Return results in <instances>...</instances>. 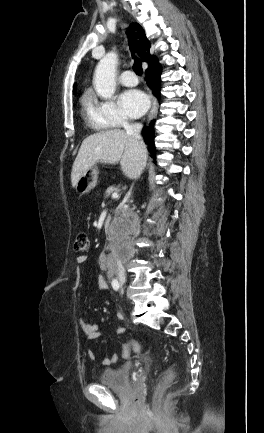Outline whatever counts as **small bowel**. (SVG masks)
Instances as JSON below:
<instances>
[{
	"label": "small bowel",
	"mask_w": 264,
	"mask_h": 433,
	"mask_svg": "<svg viewBox=\"0 0 264 433\" xmlns=\"http://www.w3.org/2000/svg\"><path fill=\"white\" fill-rule=\"evenodd\" d=\"M86 261H87V256H85V255H81V256H78L76 258V267H77L76 287L79 286V278H80L81 267L86 263ZM98 285H99V288L102 289V290H107L108 289V285H107L106 281L101 276L98 277ZM79 324H80V327H81L82 331L84 332V334L87 336V338L89 340H97V339L100 338V333H99L98 325L97 324H95V323H89V322H87L84 319H80L79 320ZM118 332L119 333H123L124 332V328L120 327L118 329ZM88 356L92 360H98V356H97V354L93 350H89L88 351ZM117 359H118L117 355L113 354L110 357L104 358L102 360V364L108 366V365H111V364L115 363L117 361Z\"/></svg>",
	"instance_id": "1"
}]
</instances>
